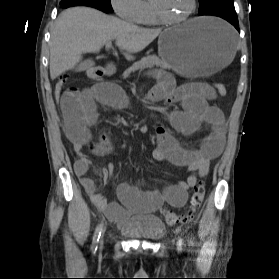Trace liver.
<instances>
[{
    "instance_id": "obj_1",
    "label": "liver",
    "mask_w": 279,
    "mask_h": 279,
    "mask_svg": "<svg viewBox=\"0 0 279 279\" xmlns=\"http://www.w3.org/2000/svg\"><path fill=\"white\" fill-rule=\"evenodd\" d=\"M160 33V29L142 28L93 8H69L59 15L51 32L50 77L54 80L74 68L83 53H97L112 40L132 60V54L142 51Z\"/></svg>"
}]
</instances>
